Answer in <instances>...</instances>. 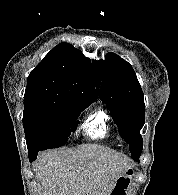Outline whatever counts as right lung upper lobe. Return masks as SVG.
<instances>
[{
	"label": "right lung upper lobe",
	"instance_id": "right-lung-upper-lobe-1",
	"mask_svg": "<svg viewBox=\"0 0 178 195\" xmlns=\"http://www.w3.org/2000/svg\"><path fill=\"white\" fill-rule=\"evenodd\" d=\"M24 99L92 103L97 94L90 59L69 43L58 44L31 71Z\"/></svg>",
	"mask_w": 178,
	"mask_h": 195
}]
</instances>
